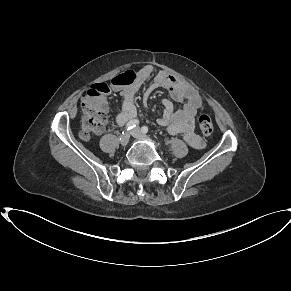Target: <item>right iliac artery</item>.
<instances>
[{
	"mask_svg": "<svg viewBox=\"0 0 291 291\" xmlns=\"http://www.w3.org/2000/svg\"><path fill=\"white\" fill-rule=\"evenodd\" d=\"M138 125H139V121L137 119H133L126 124L125 131H129ZM122 133H124V132H122Z\"/></svg>",
	"mask_w": 291,
	"mask_h": 291,
	"instance_id": "82829eb1",
	"label": "right iliac artery"
}]
</instances>
